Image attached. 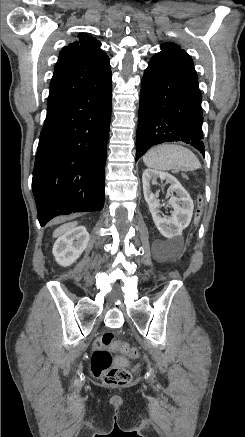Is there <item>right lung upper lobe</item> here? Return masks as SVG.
<instances>
[{
    "label": "right lung upper lobe",
    "mask_w": 245,
    "mask_h": 437,
    "mask_svg": "<svg viewBox=\"0 0 245 437\" xmlns=\"http://www.w3.org/2000/svg\"><path fill=\"white\" fill-rule=\"evenodd\" d=\"M100 46V41L80 33L60 51L47 104L97 89L111 78L109 58Z\"/></svg>",
    "instance_id": "cb5924a9"
}]
</instances>
